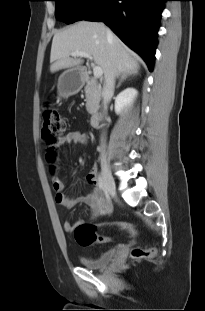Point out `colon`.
<instances>
[{
  "label": "colon",
  "mask_w": 205,
  "mask_h": 311,
  "mask_svg": "<svg viewBox=\"0 0 205 311\" xmlns=\"http://www.w3.org/2000/svg\"><path fill=\"white\" fill-rule=\"evenodd\" d=\"M66 130V121L64 117L55 109H46L42 114V140L51 147L57 143L64 135ZM49 160H54L55 153L52 150L47 152ZM117 228L123 232L134 235L135 227L128 222H104L94 225L88 222H80L74 229V238L80 246H89L95 243H107L110 238L98 233L101 228ZM154 249L134 248L131 251L133 260H142L153 256Z\"/></svg>",
  "instance_id": "1"
}]
</instances>
